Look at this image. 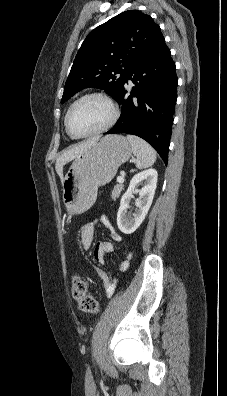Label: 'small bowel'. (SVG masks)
<instances>
[{
    "instance_id": "c3829d8e",
    "label": "small bowel",
    "mask_w": 227,
    "mask_h": 396,
    "mask_svg": "<svg viewBox=\"0 0 227 396\" xmlns=\"http://www.w3.org/2000/svg\"><path fill=\"white\" fill-rule=\"evenodd\" d=\"M97 223L103 224L110 233L112 240L118 242L121 240V235L113 227L109 219L105 215H99L94 221L87 222L80 228V241L84 249H89L92 246L94 238V229ZM113 251V244L110 241H100L96 244L93 252L95 261L99 263L104 262V256L107 253ZM129 265V261H125L122 264V269H126ZM95 273L99 280L101 281L105 294L109 297L114 293L116 283L111 280L109 276L101 269L95 268Z\"/></svg>"
}]
</instances>
